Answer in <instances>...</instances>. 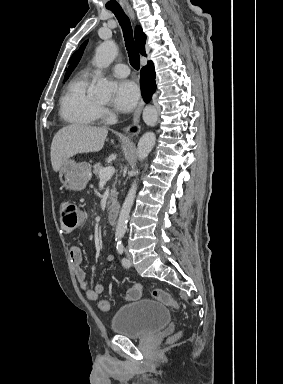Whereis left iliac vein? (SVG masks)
Here are the masks:
<instances>
[{"label":"left iliac vein","instance_id":"1","mask_svg":"<svg viewBox=\"0 0 283 384\" xmlns=\"http://www.w3.org/2000/svg\"><path fill=\"white\" fill-rule=\"evenodd\" d=\"M125 252H126V257H127V260H128V263H129V267H130L132 265V256L128 252V250H126Z\"/></svg>","mask_w":283,"mask_h":384}]
</instances>
